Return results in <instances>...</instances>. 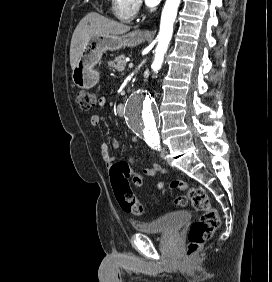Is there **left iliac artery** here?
Listing matches in <instances>:
<instances>
[{"mask_svg":"<svg viewBox=\"0 0 272 282\" xmlns=\"http://www.w3.org/2000/svg\"><path fill=\"white\" fill-rule=\"evenodd\" d=\"M159 143H160V141L157 140V141L154 142V145H158L159 146Z\"/></svg>","mask_w":272,"mask_h":282,"instance_id":"1","label":"left iliac artery"}]
</instances>
